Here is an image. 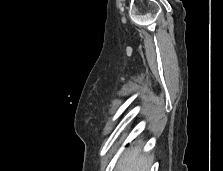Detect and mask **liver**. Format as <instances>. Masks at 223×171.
I'll list each match as a JSON object with an SVG mask.
<instances>
[{
  "mask_svg": "<svg viewBox=\"0 0 223 171\" xmlns=\"http://www.w3.org/2000/svg\"><path fill=\"white\" fill-rule=\"evenodd\" d=\"M153 156L141 155V146L128 149L119 159L115 171H149Z\"/></svg>",
  "mask_w": 223,
  "mask_h": 171,
  "instance_id": "6515ba94",
  "label": "liver"
}]
</instances>
